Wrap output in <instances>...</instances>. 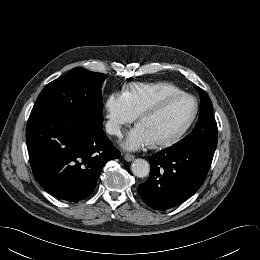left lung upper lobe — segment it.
<instances>
[{
  "label": "left lung upper lobe",
  "instance_id": "1",
  "mask_svg": "<svg viewBox=\"0 0 260 260\" xmlns=\"http://www.w3.org/2000/svg\"><path fill=\"white\" fill-rule=\"evenodd\" d=\"M198 89L201 95L200 118L192 133L176 143V145L215 150L217 145V123L213 117V105L207 93L200 87Z\"/></svg>",
  "mask_w": 260,
  "mask_h": 260
}]
</instances>
